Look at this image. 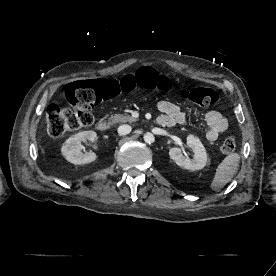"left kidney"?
I'll return each mask as SVG.
<instances>
[{"instance_id":"5707ae66","label":"left kidney","mask_w":276,"mask_h":276,"mask_svg":"<svg viewBox=\"0 0 276 276\" xmlns=\"http://www.w3.org/2000/svg\"><path fill=\"white\" fill-rule=\"evenodd\" d=\"M187 145L193 150L194 157L192 159L185 157L178 147L170 148V158L180 167L185 169L196 171L204 168L208 161L206 150L201 141L193 136L187 137Z\"/></svg>"}]
</instances>
